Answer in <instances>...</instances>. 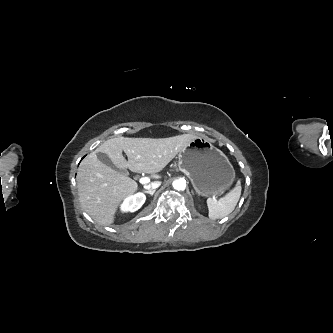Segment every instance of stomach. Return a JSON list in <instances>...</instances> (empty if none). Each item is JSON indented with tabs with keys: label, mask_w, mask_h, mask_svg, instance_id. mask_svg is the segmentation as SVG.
I'll return each mask as SVG.
<instances>
[{
	"label": "stomach",
	"mask_w": 333,
	"mask_h": 333,
	"mask_svg": "<svg viewBox=\"0 0 333 333\" xmlns=\"http://www.w3.org/2000/svg\"><path fill=\"white\" fill-rule=\"evenodd\" d=\"M178 168L203 197L222 195L235 178L227 156L204 137H196L178 154Z\"/></svg>",
	"instance_id": "1"
}]
</instances>
